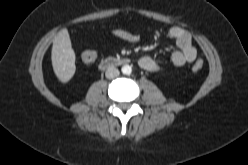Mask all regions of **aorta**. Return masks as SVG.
<instances>
[{"label": "aorta", "mask_w": 248, "mask_h": 165, "mask_svg": "<svg viewBox=\"0 0 248 165\" xmlns=\"http://www.w3.org/2000/svg\"><path fill=\"white\" fill-rule=\"evenodd\" d=\"M121 71L125 75H130L131 72H132V68H131L130 65H123L122 68H121Z\"/></svg>", "instance_id": "1"}]
</instances>
